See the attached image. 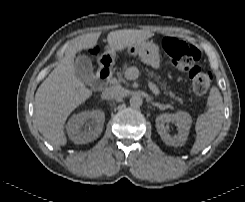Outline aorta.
I'll use <instances>...</instances> for the list:
<instances>
[{
    "label": "aorta",
    "instance_id": "aorta-1",
    "mask_svg": "<svg viewBox=\"0 0 245 202\" xmlns=\"http://www.w3.org/2000/svg\"><path fill=\"white\" fill-rule=\"evenodd\" d=\"M129 102H130L131 107L139 108L142 105L143 100H142L141 96H139V95H133L130 98V101Z\"/></svg>",
    "mask_w": 245,
    "mask_h": 202
}]
</instances>
